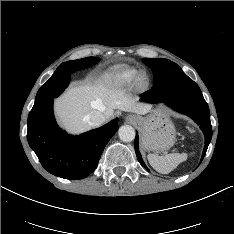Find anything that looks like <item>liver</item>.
Listing matches in <instances>:
<instances>
[{
    "mask_svg": "<svg viewBox=\"0 0 234 234\" xmlns=\"http://www.w3.org/2000/svg\"><path fill=\"white\" fill-rule=\"evenodd\" d=\"M115 109L143 115L149 112L150 105L138 103L135 98L111 87L106 81L72 86L55 100L56 116L71 133L90 129L91 126L85 120L88 114L100 111L109 120Z\"/></svg>",
    "mask_w": 234,
    "mask_h": 234,
    "instance_id": "6515ba94",
    "label": "liver"
}]
</instances>
